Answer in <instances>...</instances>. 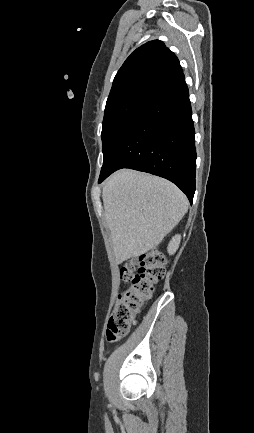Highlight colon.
Returning <instances> with one entry per match:
<instances>
[{
	"mask_svg": "<svg viewBox=\"0 0 254 433\" xmlns=\"http://www.w3.org/2000/svg\"><path fill=\"white\" fill-rule=\"evenodd\" d=\"M164 264L163 254L157 250H151L126 261L121 266V278L129 285L119 294L109 319L108 342H117L130 332L145 303L151 297L155 285L163 278Z\"/></svg>",
	"mask_w": 254,
	"mask_h": 433,
	"instance_id": "colon-1",
	"label": "colon"
}]
</instances>
